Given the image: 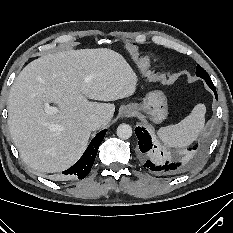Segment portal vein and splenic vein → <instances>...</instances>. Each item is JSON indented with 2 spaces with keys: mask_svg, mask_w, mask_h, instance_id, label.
Returning <instances> with one entry per match:
<instances>
[{
  "mask_svg": "<svg viewBox=\"0 0 233 233\" xmlns=\"http://www.w3.org/2000/svg\"><path fill=\"white\" fill-rule=\"evenodd\" d=\"M45 111L49 114H53L57 112V108L47 105Z\"/></svg>",
  "mask_w": 233,
  "mask_h": 233,
  "instance_id": "obj_1",
  "label": "portal vein and splenic vein"
}]
</instances>
